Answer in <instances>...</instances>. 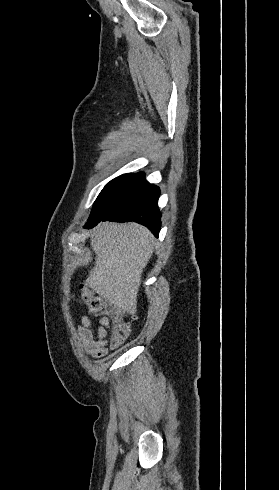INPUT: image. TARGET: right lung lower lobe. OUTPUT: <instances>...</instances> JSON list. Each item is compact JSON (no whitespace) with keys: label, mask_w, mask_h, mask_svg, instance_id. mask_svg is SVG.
Listing matches in <instances>:
<instances>
[{"label":"right lung lower lobe","mask_w":279,"mask_h":490,"mask_svg":"<svg viewBox=\"0 0 279 490\" xmlns=\"http://www.w3.org/2000/svg\"><path fill=\"white\" fill-rule=\"evenodd\" d=\"M159 187L140 184L127 188L115 195L107 204V209L100 217L88 221L85 228H92L100 221L128 222L135 221L145 225L158 236L161 214L158 208Z\"/></svg>","instance_id":"obj_1"}]
</instances>
